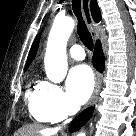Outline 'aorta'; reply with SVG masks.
<instances>
[{"label":"aorta","mask_w":136,"mask_h":136,"mask_svg":"<svg viewBox=\"0 0 136 136\" xmlns=\"http://www.w3.org/2000/svg\"><path fill=\"white\" fill-rule=\"evenodd\" d=\"M74 26L73 18L56 17L50 30L44 62L46 75L54 83L62 82L67 74L66 45Z\"/></svg>","instance_id":"aorta-1"}]
</instances>
